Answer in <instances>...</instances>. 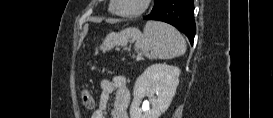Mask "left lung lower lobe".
Here are the masks:
<instances>
[{
  "label": "left lung lower lobe",
  "instance_id": "obj_1",
  "mask_svg": "<svg viewBox=\"0 0 273 118\" xmlns=\"http://www.w3.org/2000/svg\"><path fill=\"white\" fill-rule=\"evenodd\" d=\"M193 14V0H162L159 6L144 19L163 21L173 25L183 32L193 44L196 33Z\"/></svg>",
  "mask_w": 273,
  "mask_h": 118
}]
</instances>
